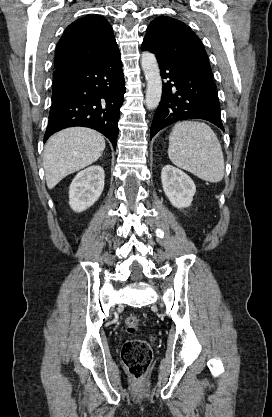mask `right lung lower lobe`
Returning a JSON list of instances; mask_svg holds the SVG:
<instances>
[{
    "mask_svg": "<svg viewBox=\"0 0 272 417\" xmlns=\"http://www.w3.org/2000/svg\"><path fill=\"white\" fill-rule=\"evenodd\" d=\"M124 93L118 46L93 64L56 69L44 142L59 130L83 126L101 132L116 148Z\"/></svg>",
    "mask_w": 272,
    "mask_h": 417,
    "instance_id": "98d812e1",
    "label": "right lung lower lobe"
}]
</instances>
